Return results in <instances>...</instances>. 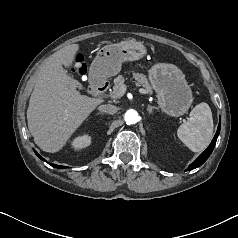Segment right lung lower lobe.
<instances>
[{
	"mask_svg": "<svg viewBox=\"0 0 238 238\" xmlns=\"http://www.w3.org/2000/svg\"><path fill=\"white\" fill-rule=\"evenodd\" d=\"M34 152L36 153V155H37L40 159H42L43 161H45V159H43L35 150H34ZM49 164H50L51 166L55 167V168H58V169L66 168L65 166H59V165L51 164V163H49Z\"/></svg>",
	"mask_w": 238,
	"mask_h": 238,
	"instance_id": "right-lung-lower-lobe-1",
	"label": "right lung lower lobe"
}]
</instances>
